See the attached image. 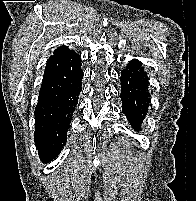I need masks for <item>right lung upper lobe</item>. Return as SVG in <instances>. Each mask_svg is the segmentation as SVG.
<instances>
[{
	"instance_id": "obj_1",
	"label": "right lung upper lobe",
	"mask_w": 196,
	"mask_h": 201,
	"mask_svg": "<svg viewBox=\"0 0 196 201\" xmlns=\"http://www.w3.org/2000/svg\"><path fill=\"white\" fill-rule=\"evenodd\" d=\"M58 54H75L76 55L74 51L70 50L66 46H60L53 53V55H58Z\"/></svg>"
}]
</instances>
